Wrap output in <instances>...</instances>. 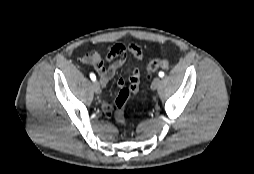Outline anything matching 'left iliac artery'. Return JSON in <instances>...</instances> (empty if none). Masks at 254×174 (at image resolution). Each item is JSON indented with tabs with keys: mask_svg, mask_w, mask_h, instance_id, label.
Masks as SVG:
<instances>
[{
	"mask_svg": "<svg viewBox=\"0 0 254 174\" xmlns=\"http://www.w3.org/2000/svg\"><path fill=\"white\" fill-rule=\"evenodd\" d=\"M163 76H164V72L160 71V72H159V77L162 78Z\"/></svg>",
	"mask_w": 254,
	"mask_h": 174,
	"instance_id": "obj_1",
	"label": "left iliac artery"
}]
</instances>
